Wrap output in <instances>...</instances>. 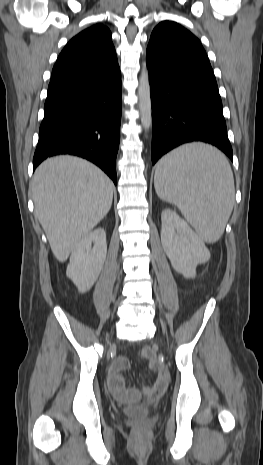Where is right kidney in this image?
Here are the masks:
<instances>
[{"label":"right kidney","instance_id":"obj_1","mask_svg":"<svg viewBox=\"0 0 263 465\" xmlns=\"http://www.w3.org/2000/svg\"><path fill=\"white\" fill-rule=\"evenodd\" d=\"M93 244V245H92ZM107 254L106 233L98 228L84 236L73 250L66 275L82 293L99 277Z\"/></svg>","mask_w":263,"mask_h":465}]
</instances>
